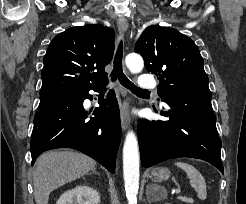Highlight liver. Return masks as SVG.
I'll use <instances>...</instances> for the list:
<instances>
[{
    "instance_id": "obj_1",
    "label": "liver",
    "mask_w": 246,
    "mask_h": 204,
    "mask_svg": "<svg viewBox=\"0 0 246 204\" xmlns=\"http://www.w3.org/2000/svg\"><path fill=\"white\" fill-rule=\"evenodd\" d=\"M96 162L79 152L49 151L37 160L33 174L36 204H48L50 193L92 170Z\"/></svg>"
}]
</instances>
